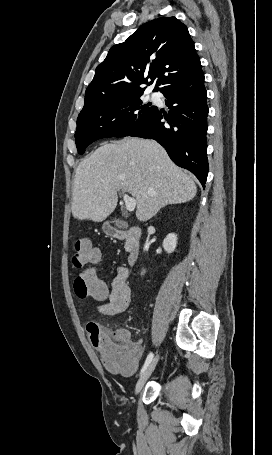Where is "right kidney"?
<instances>
[{
	"label": "right kidney",
	"instance_id": "1",
	"mask_svg": "<svg viewBox=\"0 0 272 455\" xmlns=\"http://www.w3.org/2000/svg\"><path fill=\"white\" fill-rule=\"evenodd\" d=\"M163 248L167 253H172L177 245V236L174 233H170L163 240Z\"/></svg>",
	"mask_w": 272,
	"mask_h": 455
}]
</instances>
